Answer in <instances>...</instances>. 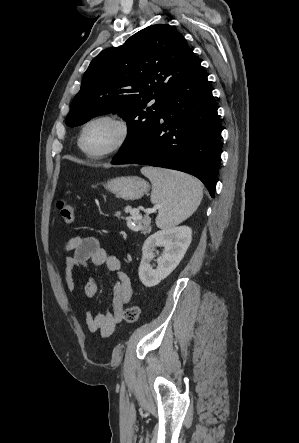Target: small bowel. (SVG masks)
Instances as JSON below:
<instances>
[{"label":"small bowel","instance_id":"c3829d8e","mask_svg":"<svg viewBox=\"0 0 299 443\" xmlns=\"http://www.w3.org/2000/svg\"><path fill=\"white\" fill-rule=\"evenodd\" d=\"M65 251H72L73 254L65 259L64 271L66 287L69 292L75 290L74 272L92 264L96 267L106 266V268L116 275L117 281L114 285L111 310L93 315L87 311L85 313L86 326L90 332H99L102 338H110L116 326L122 321L124 306L131 301L133 289L130 278L121 271V262L113 254H109L100 244L99 240L93 236L81 237L73 236L64 244ZM85 296L89 299L95 297L97 285L94 280L89 279L84 286Z\"/></svg>","mask_w":299,"mask_h":443}]
</instances>
